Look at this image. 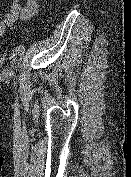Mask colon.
<instances>
[{
    "label": "colon",
    "instance_id": "1",
    "mask_svg": "<svg viewBox=\"0 0 131 177\" xmlns=\"http://www.w3.org/2000/svg\"><path fill=\"white\" fill-rule=\"evenodd\" d=\"M5 57H6V51H0V67L3 65V62L5 61Z\"/></svg>",
    "mask_w": 131,
    "mask_h": 177
}]
</instances>
